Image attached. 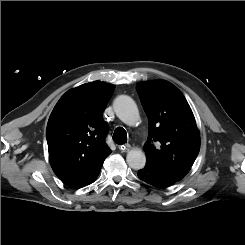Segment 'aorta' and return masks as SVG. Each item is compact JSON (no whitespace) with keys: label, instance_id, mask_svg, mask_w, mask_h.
<instances>
[{"label":"aorta","instance_id":"obj_1","mask_svg":"<svg viewBox=\"0 0 245 245\" xmlns=\"http://www.w3.org/2000/svg\"><path fill=\"white\" fill-rule=\"evenodd\" d=\"M114 111L118 118L125 124L133 126L139 119V111L135 101L127 96H118L113 104ZM126 161L129 167L134 170L142 169L146 163V156L141 149L135 148L127 153Z\"/></svg>","mask_w":245,"mask_h":245}]
</instances>
